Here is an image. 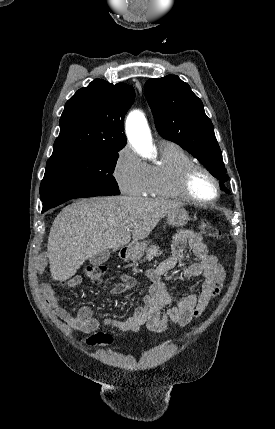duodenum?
<instances>
[{
    "label": "duodenum",
    "mask_w": 275,
    "mask_h": 429,
    "mask_svg": "<svg viewBox=\"0 0 275 429\" xmlns=\"http://www.w3.org/2000/svg\"><path fill=\"white\" fill-rule=\"evenodd\" d=\"M132 250L133 247L131 245L126 246L122 249L121 254L123 257H128L131 254Z\"/></svg>",
    "instance_id": "obj_1"
}]
</instances>
